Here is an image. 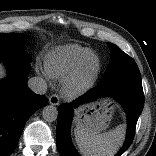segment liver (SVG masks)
<instances>
[{"instance_id":"1","label":"liver","mask_w":156,"mask_h":156,"mask_svg":"<svg viewBox=\"0 0 156 156\" xmlns=\"http://www.w3.org/2000/svg\"><path fill=\"white\" fill-rule=\"evenodd\" d=\"M3 71H2V67L0 66V78L2 77Z\"/></svg>"}]
</instances>
